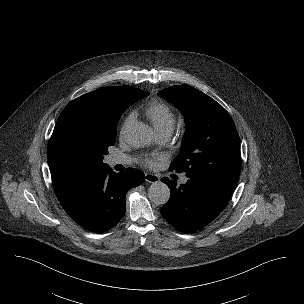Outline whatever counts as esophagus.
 <instances>
[{"label":"esophagus","mask_w":304,"mask_h":304,"mask_svg":"<svg viewBox=\"0 0 304 304\" xmlns=\"http://www.w3.org/2000/svg\"><path fill=\"white\" fill-rule=\"evenodd\" d=\"M145 180L148 183H157V182H159V177L155 174L146 173Z\"/></svg>","instance_id":"esophagus-1"}]
</instances>
